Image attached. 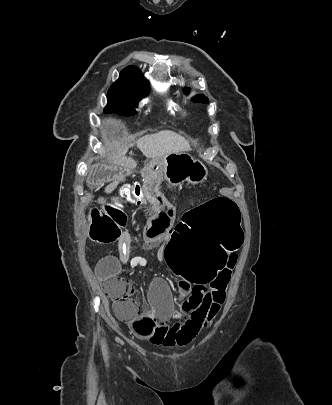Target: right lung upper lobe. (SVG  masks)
Masks as SVG:
<instances>
[{
	"instance_id": "right-lung-upper-lobe-1",
	"label": "right lung upper lobe",
	"mask_w": 332,
	"mask_h": 405,
	"mask_svg": "<svg viewBox=\"0 0 332 405\" xmlns=\"http://www.w3.org/2000/svg\"><path fill=\"white\" fill-rule=\"evenodd\" d=\"M117 81L137 89H147L149 86L141 71L134 66H128L123 69Z\"/></svg>"
}]
</instances>
